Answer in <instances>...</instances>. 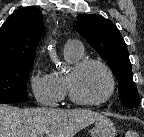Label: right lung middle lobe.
Returning <instances> with one entry per match:
<instances>
[{"instance_id": "dd1d6c3e", "label": "right lung middle lobe", "mask_w": 144, "mask_h": 137, "mask_svg": "<svg viewBox=\"0 0 144 137\" xmlns=\"http://www.w3.org/2000/svg\"><path fill=\"white\" fill-rule=\"evenodd\" d=\"M34 59L0 63V103L27 100L26 80Z\"/></svg>"}]
</instances>
